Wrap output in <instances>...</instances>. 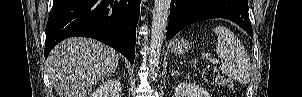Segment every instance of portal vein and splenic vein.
Returning <instances> with one entry per match:
<instances>
[{
	"mask_svg": "<svg viewBox=\"0 0 302 97\" xmlns=\"http://www.w3.org/2000/svg\"><path fill=\"white\" fill-rule=\"evenodd\" d=\"M203 60H208L210 61L211 63H214V64H218L220 63L219 60L215 59V58H211V57H202Z\"/></svg>",
	"mask_w": 302,
	"mask_h": 97,
	"instance_id": "obj_1",
	"label": "portal vein and splenic vein"
}]
</instances>
